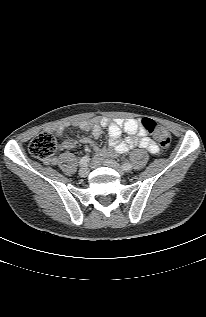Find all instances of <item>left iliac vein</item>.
<instances>
[{
	"label": "left iliac vein",
	"instance_id": "left-iliac-vein-1",
	"mask_svg": "<svg viewBox=\"0 0 206 317\" xmlns=\"http://www.w3.org/2000/svg\"><path fill=\"white\" fill-rule=\"evenodd\" d=\"M104 165L115 169L120 175H124L125 174V170L114 160L106 159L104 161Z\"/></svg>",
	"mask_w": 206,
	"mask_h": 317
}]
</instances>
